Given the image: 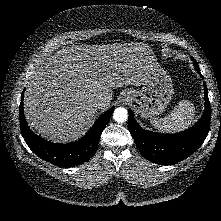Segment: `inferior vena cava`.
I'll use <instances>...</instances> for the list:
<instances>
[{"instance_id": "inferior-vena-cava-1", "label": "inferior vena cava", "mask_w": 221, "mask_h": 221, "mask_svg": "<svg viewBox=\"0 0 221 221\" xmlns=\"http://www.w3.org/2000/svg\"><path fill=\"white\" fill-rule=\"evenodd\" d=\"M94 106L96 108H102L104 106V100L103 99H98L97 101H95Z\"/></svg>"}]
</instances>
